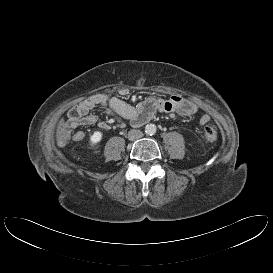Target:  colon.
Wrapping results in <instances>:
<instances>
[{"label":"colon","mask_w":273,"mask_h":273,"mask_svg":"<svg viewBox=\"0 0 273 273\" xmlns=\"http://www.w3.org/2000/svg\"><path fill=\"white\" fill-rule=\"evenodd\" d=\"M70 135V126L66 123H61L57 132L59 142H66L70 138ZM204 136L209 142H216L218 138L216 127L211 124L206 125L204 127Z\"/></svg>","instance_id":"obj_1"}]
</instances>
